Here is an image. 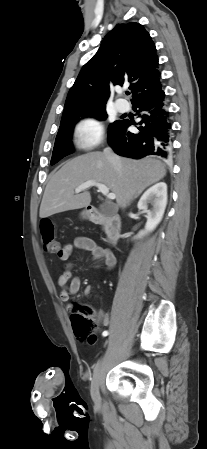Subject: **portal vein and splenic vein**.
Instances as JSON below:
<instances>
[{"label": "portal vein and splenic vein", "instance_id": "portal-vein-and-splenic-vein-1", "mask_svg": "<svg viewBox=\"0 0 207 449\" xmlns=\"http://www.w3.org/2000/svg\"><path fill=\"white\" fill-rule=\"evenodd\" d=\"M92 186L97 187L98 191L101 192L107 198H109V199H115L116 198V195L114 193H109V189H108V187L105 184L97 182V181H93V180L87 181V182L81 184L80 186H78L75 189V193L76 194L80 193L81 191H83L85 189H88V188H90Z\"/></svg>", "mask_w": 207, "mask_h": 449}]
</instances>
